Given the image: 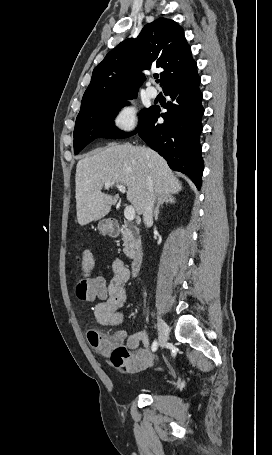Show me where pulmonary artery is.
Here are the masks:
<instances>
[{
	"label": "pulmonary artery",
	"instance_id": "e3ab8cb5",
	"mask_svg": "<svg viewBox=\"0 0 272 455\" xmlns=\"http://www.w3.org/2000/svg\"><path fill=\"white\" fill-rule=\"evenodd\" d=\"M146 93L150 98H156L158 96L157 89L151 85L147 86Z\"/></svg>",
	"mask_w": 272,
	"mask_h": 455
}]
</instances>
